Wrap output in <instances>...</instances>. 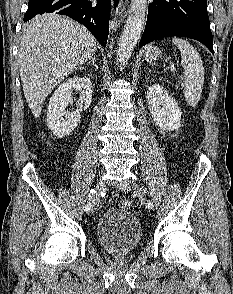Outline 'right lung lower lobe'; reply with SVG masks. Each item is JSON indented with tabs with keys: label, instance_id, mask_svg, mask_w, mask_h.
I'll use <instances>...</instances> for the list:
<instances>
[{
	"label": "right lung lower lobe",
	"instance_id": "98d812e1",
	"mask_svg": "<svg viewBox=\"0 0 233 294\" xmlns=\"http://www.w3.org/2000/svg\"><path fill=\"white\" fill-rule=\"evenodd\" d=\"M110 12L111 0H97V4L88 0H29L24 22L42 13L66 15L83 24L106 47Z\"/></svg>",
	"mask_w": 233,
	"mask_h": 294
}]
</instances>
